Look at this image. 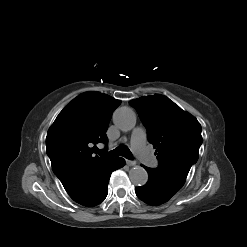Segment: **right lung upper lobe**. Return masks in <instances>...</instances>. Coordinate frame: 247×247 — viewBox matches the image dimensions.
<instances>
[{"instance_id": "obj_1", "label": "right lung upper lobe", "mask_w": 247, "mask_h": 247, "mask_svg": "<svg viewBox=\"0 0 247 247\" xmlns=\"http://www.w3.org/2000/svg\"><path fill=\"white\" fill-rule=\"evenodd\" d=\"M120 103L100 92L83 93L59 113L49 128L47 154L65 190L114 159L95 154L98 143L108 142L105 133Z\"/></svg>"}]
</instances>
